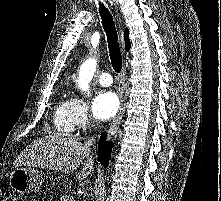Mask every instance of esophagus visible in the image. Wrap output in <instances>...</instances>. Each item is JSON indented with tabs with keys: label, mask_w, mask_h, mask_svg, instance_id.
<instances>
[{
	"label": "esophagus",
	"mask_w": 221,
	"mask_h": 201,
	"mask_svg": "<svg viewBox=\"0 0 221 201\" xmlns=\"http://www.w3.org/2000/svg\"><path fill=\"white\" fill-rule=\"evenodd\" d=\"M121 36H122V30H121ZM125 80H126V67L124 66L122 68V72H121V88H120V109L116 115V117L113 119V121L111 122L108 130H107V134L108 137H111L113 135H115L119 129L120 123H121V119L124 115L125 112Z\"/></svg>",
	"instance_id": "1"
}]
</instances>
